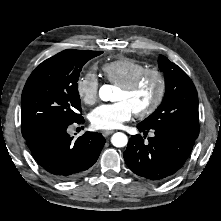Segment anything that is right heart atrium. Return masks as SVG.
Masks as SVG:
<instances>
[{
	"mask_svg": "<svg viewBox=\"0 0 221 221\" xmlns=\"http://www.w3.org/2000/svg\"><path fill=\"white\" fill-rule=\"evenodd\" d=\"M76 92L83 103L94 104L99 92V80L96 73L87 71L81 74L76 81Z\"/></svg>",
	"mask_w": 221,
	"mask_h": 221,
	"instance_id": "obj_1",
	"label": "right heart atrium"
}]
</instances>
